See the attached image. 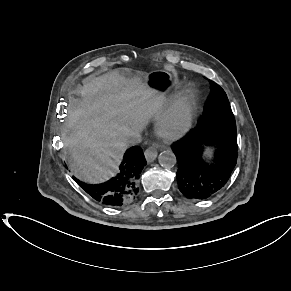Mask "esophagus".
<instances>
[{
	"instance_id": "obj_1",
	"label": "esophagus",
	"mask_w": 291,
	"mask_h": 291,
	"mask_svg": "<svg viewBox=\"0 0 291 291\" xmlns=\"http://www.w3.org/2000/svg\"><path fill=\"white\" fill-rule=\"evenodd\" d=\"M157 154H158V152H157V148L155 145L147 148L144 152V155H145L147 162H153L156 159Z\"/></svg>"
}]
</instances>
